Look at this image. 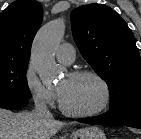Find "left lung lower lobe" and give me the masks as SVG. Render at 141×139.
<instances>
[{
    "label": "left lung lower lobe",
    "instance_id": "obj_1",
    "mask_svg": "<svg viewBox=\"0 0 141 139\" xmlns=\"http://www.w3.org/2000/svg\"><path fill=\"white\" fill-rule=\"evenodd\" d=\"M78 121L87 124L120 125L141 129V101L131 102L98 117L82 118Z\"/></svg>",
    "mask_w": 141,
    "mask_h": 139
}]
</instances>
